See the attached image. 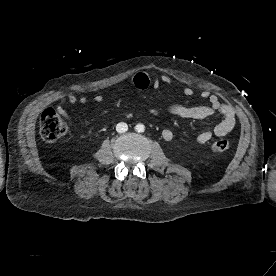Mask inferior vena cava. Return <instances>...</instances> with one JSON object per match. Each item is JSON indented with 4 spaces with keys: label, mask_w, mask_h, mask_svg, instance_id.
Here are the masks:
<instances>
[{
    "label": "inferior vena cava",
    "mask_w": 276,
    "mask_h": 276,
    "mask_svg": "<svg viewBox=\"0 0 276 276\" xmlns=\"http://www.w3.org/2000/svg\"><path fill=\"white\" fill-rule=\"evenodd\" d=\"M127 130H128V125H127L126 123H124V122H120V123H118L117 126H116V131H117L118 133H124V132H126Z\"/></svg>",
    "instance_id": "602c4592"
}]
</instances>
